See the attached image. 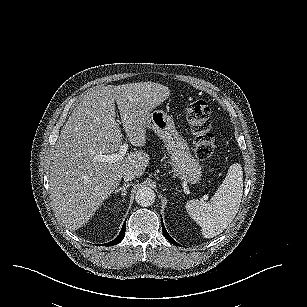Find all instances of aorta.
Segmentation results:
<instances>
[{
	"instance_id": "1",
	"label": "aorta",
	"mask_w": 307,
	"mask_h": 307,
	"mask_svg": "<svg viewBox=\"0 0 307 307\" xmlns=\"http://www.w3.org/2000/svg\"><path fill=\"white\" fill-rule=\"evenodd\" d=\"M136 202L142 207L151 206L156 201V194L149 187L140 188L135 196Z\"/></svg>"
}]
</instances>
